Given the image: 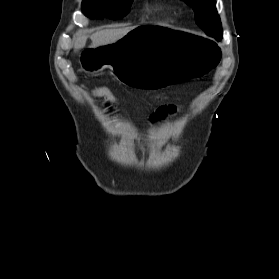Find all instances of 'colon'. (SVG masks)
Returning a JSON list of instances; mask_svg holds the SVG:
<instances>
[{"label":"colon","instance_id":"colon-1","mask_svg":"<svg viewBox=\"0 0 279 279\" xmlns=\"http://www.w3.org/2000/svg\"><path fill=\"white\" fill-rule=\"evenodd\" d=\"M89 92L94 95L103 98L105 101L108 102H115L117 101L116 94L108 87L106 86H100V85H94L89 88ZM164 98L159 97L157 98L158 101H162Z\"/></svg>","mask_w":279,"mask_h":279}]
</instances>
